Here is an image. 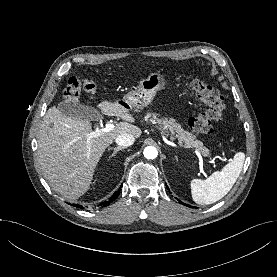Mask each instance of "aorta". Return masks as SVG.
<instances>
[{"mask_svg": "<svg viewBox=\"0 0 277 277\" xmlns=\"http://www.w3.org/2000/svg\"><path fill=\"white\" fill-rule=\"evenodd\" d=\"M143 154H144L145 158H147V159H155L157 157V155H158V151L153 146H147L144 149Z\"/></svg>", "mask_w": 277, "mask_h": 277, "instance_id": "1", "label": "aorta"}]
</instances>
